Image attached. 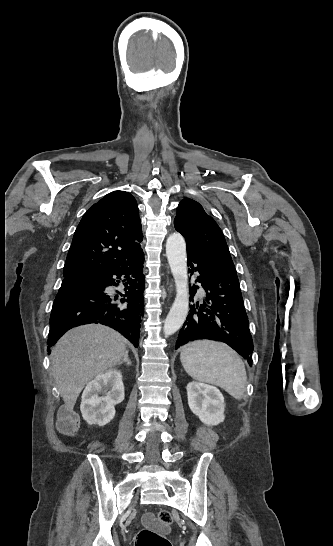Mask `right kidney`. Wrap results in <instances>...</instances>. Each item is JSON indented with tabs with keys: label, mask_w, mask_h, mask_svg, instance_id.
Wrapping results in <instances>:
<instances>
[{
	"label": "right kidney",
	"mask_w": 333,
	"mask_h": 546,
	"mask_svg": "<svg viewBox=\"0 0 333 546\" xmlns=\"http://www.w3.org/2000/svg\"><path fill=\"white\" fill-rule=\"evenodd\" d=\"M105 396H99L100 393ZM124 400L122 374L117 369H109L89 382L82 394L80 410L89 424L104 426L115 416L114 406Z\"/></svg>",
	"instance_id": "obj_1"
}]
</instances>
